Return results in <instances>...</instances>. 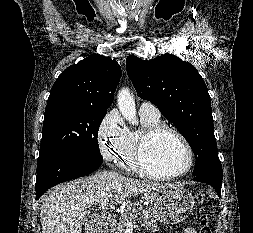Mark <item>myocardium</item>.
<instances>
[{"label": "myocardium", "mask_w": 253, "mask_h": 233, "mask_svg": "<svg viewBox=\"0 0 253 233\" xmlns=\"http://www.w3.org/2000/svg\"><path fill=\"white\" fill-rule=\"evenodd\" d=\"M162 133L172 134L185 146L188 154V164L183 171L178 173H156L147 166L145 160L146 150L149 144ZM194 160V150L187 138L179 130L166 124H159L145 130L139 138L135 151V162L139 171L142 174L155 179L170 180L184 177L192 170Z\"/></svg>", "instance_id": "f54148a6"}]
</instances>
